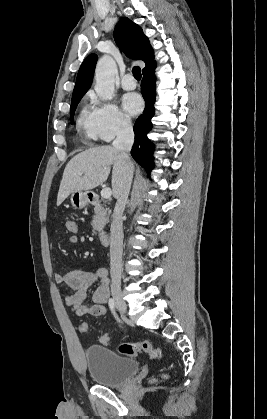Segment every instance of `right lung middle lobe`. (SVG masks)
<instances>
[{
	"label": "right lung middle lobe",
	"mask_w": 267,
	"mask_h": 419,
	"mask_svg": "<svg viewBox=\"0 0 267 419\" xmlns=\"http://www.w3.org/2000/svg\"><path fill=\"white\" fill-rule=\"evenodd\" d=\"M82 97L83 96L72 97V102H71V107H70V117H71L72 122H73L75 110Z\"/></svg>",
	"instance_id": "right-lung-middle-lobe-1"
}]
</instances>
